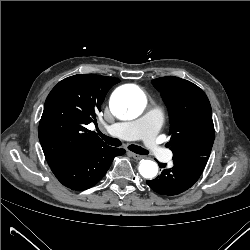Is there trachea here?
Instances as JSON below:
<instances>
[{"label": "trachea", "instance_id": "3493384b", "mask_svg": "<svg viewBox=\"0 0 250 250\" xmlns=\"http://www.w3.org/2000/svg\"><path fill=\"white\" fill-rule=\"evenodd\" d=\"M98 135L108 144L111 146H115L118 147L121 145V141L117 138H112V137H108L104 134H102L100 131H98ZM128 149L133 151L136 154H140V155H148L149 152L147 150H145L144 148L131 144L128 146Z\"/></svg>", "mask_w": 250, "mask_h": 250}]
</instances>
